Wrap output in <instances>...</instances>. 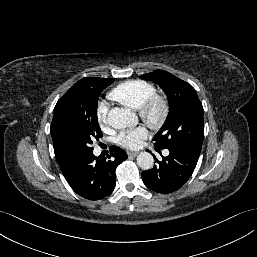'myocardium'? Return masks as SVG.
<instances>
[{
	"mask_svg": "<svg viewBox=\"0 0 257 257\" xmlns=\"http://www.w3.org/2000/svg\"><path fill=\"white\" fill-rule=\"evenodd\" d=\"M140 117L153 129L161 128L170 113L168 99L160 94L150 96L138 109Z\"/></svg>",
	"mask_w": 257,
	"mask_h": 257,
	"instance_id": "obj_1",
	"label": "myocardium"
}]
</instances>
